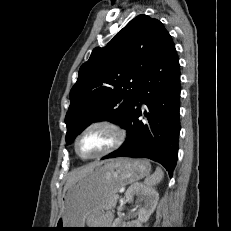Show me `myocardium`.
I'll return each instance as SVG.
<instances>
[{
	"label": "myocardium",
	"instance_id": "myocardium-1",
	"mask_svg": "<svg viewBox=\"0 0 231 231\" xmlns=\"http://www.w3.org/2000/svg\"><path fill=\"white\" fill-rule=\"evenodd\" d=\"M97 126H104L109 129H111L114 132L115 135V140L113 144L105 149L104 151L100 152L99 154L93 155V156H84L79 152L78 149V142L80 137L89 129ZM126 139V131L124 128L118 124L117 122L110 120V119H98L90 122L87 124L76 136L75 141H74V149L76 154L83 160H92V159H98L102 158L104 156H107L113 152H115L117 149L121 147V145L124 143Z\"/></svg>",
	"mask_w": 231,
	"mask_h": 231
}]
</instances>
